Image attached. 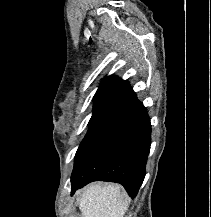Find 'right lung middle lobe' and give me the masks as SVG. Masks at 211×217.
<instances>
[{"instance_id":"right-lung-middle-lobe-1","label":"right lung middle lobe","mask_w":211,"mask_h":217,"mask_svg":"<svg viewBox=\"0 0 211 217\" xmlns=\"http://www.w3.org/2000/svg\"><path fill=\"white\" fill-rule=\"evenodd\" d=\"M113 120L112 118H91L88 132L77 150L74 167L92 146L97 137Z\"/></svg>"}]
</instances>
